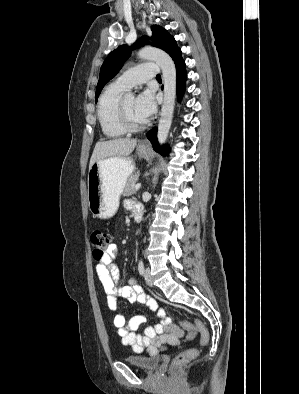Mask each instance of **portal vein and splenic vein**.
Instances as JSON below:
<instances>
[{"label": "portal vein and splenic vein", "instance_id": "18ae733b", "mask_svg": "<svg viewBox=\"0 0 299 394\" xmlns=\"http://www.w3.org/2000/svg\"><path fill=\"white\" fill-rule=\"evenodd\" d=\"M140 187H141V183H137V184L135 185V189H136V190L140 189Z\"/></svg>", "mask_w": 299, "mask_h": 394}]
</instances>
